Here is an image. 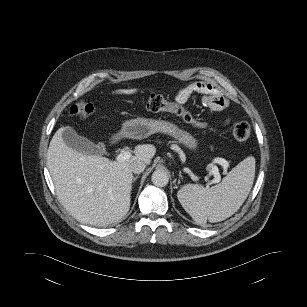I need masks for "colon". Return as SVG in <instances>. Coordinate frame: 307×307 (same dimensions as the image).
Returning <instances> with one entry per match:
<instances>
[{"label":"colon","instance_id":"colon-1","mask_svg":"<svg viewBox=\"0 0 307 307\" xmlns=\"http://www.w3.org/2000/svg\"><path fill=\"white\" fill-rule=\"evenodd\" d=\"M146 108L152 112L166 111L181 117L186 123H189L197 128L204 129L207 124L198 121L193 115L178 102H171L158 94H151L145 101ZM94 112V107L91 103L80 101L72 106L71 114L79 119H87ZM233 136L238 141H246L249 139L251 130L246 122H237L232 128Z\"/></svg>","mask_w":307,"mask_h":307}]
</instances>
